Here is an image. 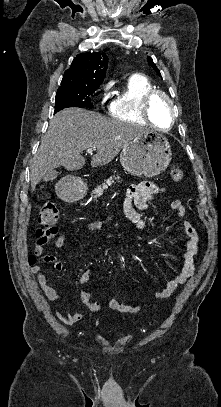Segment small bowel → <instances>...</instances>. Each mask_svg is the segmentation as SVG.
<instances>
[{
    "mask_svg": "<svg viewBox=\"0 0 221 407\" xmlns=\"http://www.w3.org/2000/svg\"><path fill=\"white\" fill-rule=\"evenodd\" d=\"M164 189L153 182H141L139 184L131 186L127 192L123 203V213L125 216V222L121 221L117 217H109L105 220L92 221L87 223L83 229V233H91L100 230L108 222H115L116 224H128L137 230L144 231L146 229L145 224L140 215V211L147 209L150 202H152L157 195L161 194ZM171 208L176 211L177 215L183 219L182 227L187 236L185 245V251L183 254L182 262L179 266L177 275L169 281L166 286L161 290L155 292L154 297L156 299H163L170 296L180 285L186 283L194 274L195 271V258L199 252L200 238L197 230L186 219V209L180 200H173L170 204ZM50 238H39L36 234V242L32 248L31 253L27 257V265L32 274L36 275V282L42 290L45 297L52 302H61L63 300L62 294L48 282L47 276L41 271V263L52 264L53 268L57 272L64 270L63 263L54 254L45 253V245ZM66 243L65 235H60L55 245L57 248H62ZM92 270H85L79 277L78 282L85 284L90 281ZM90 297L88 293L82 292L81 299ZM108 306L112 310H116L122 313H137L145 304H130L122 303L116 299H111L108 302ZM57 317L60 321L67 325H72L81 321L84 318V314L81 312L62 314L57 313ZM164 327L167 324H163Z\"/></svg>",
    "mask_w": 221,
    "mask_h": 407,
    "instance_id": "small-bowel-1",
    "label": "small bowel"
}]
</instances>
